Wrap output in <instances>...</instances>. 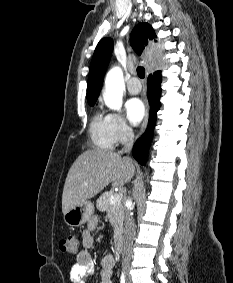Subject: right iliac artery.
I'll use <instances>...</instances> for the list:
<instances>
[{
	"mask_svg": "<svg viewBox=\"0 0 233 283\" xmlns=\"http://www.w3.org/2000/svg\"><path fill=\"white\" fill-rule=\"evenodd\" d=\"M120 283H125V275L122 272L121 277H120Z\"/></svg>",
	"mask_w": 233,
	"mask_h": 283,
	"instance_id": "right-iliac-artery-1",
	"label": "right iliac artery"
}]
</instances>
